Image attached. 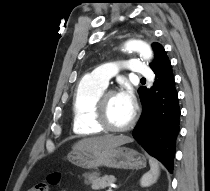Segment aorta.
Segmentation results:
<instances>
[{
	"instance_id": "obj_1",
	"label": "aorta",
	"mask_w": 210,
	"mask_h": 191,
	"mask_svg": "<svg viewBox=\"0 0 210 191\" xmlns=\"http://www.w3.org/2000/svg\"><path fill=\"white\" fill-rule=\"evenodd\" d=\"M124 49L126 51H136L140 54L144 59H152L153 52L151 47L140 40H129L125 43Z\"/></svg>"
}]
</instances>
